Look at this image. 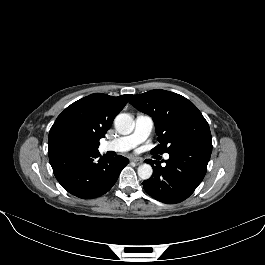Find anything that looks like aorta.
Listing matches in <instances>:
<instances>
[{
	"label": "aorta",
	"instance_id": "aorta-1",
	"mask_svg": "<svg viewBox=\"0 0 265 265\" xmlns=\"http://www.w3.org/2000/svg\"><path fill=\"white\" fill-rule=\"evenodd\" d=\"M114 125L116 130L122 135H128L133 132L135 127L134 119L131 115L127 113H120L116 116L114 120ZM138 176L143 179L147 180L152 176L153 169L149 164H142L138 167Z\"/></svg>",
	"mask_w": 265,
	"mask_h": 265
}]
</instances>
